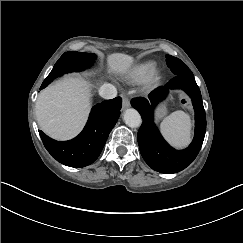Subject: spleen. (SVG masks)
Masks as SVG:
<instances>
[{"instance_id":"1","label":"spleen","mask_w":243,"mask_h":243,"mask_svg":"<svg viewBox=\"0 0 243 243\" xmlns=\"http://www.w3.org/2000/svg\"><path fill=\"white\" fill-rule=\"evenodd\" d=\"M165 137L176 147H184L190 142V121L182 111L168 115L161 123Z\"/></svg>"}]
</instances>
